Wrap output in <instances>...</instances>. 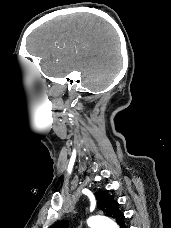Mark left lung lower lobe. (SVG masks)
I'll return each instance as SVG.
<instances>
[{
	"label": "left lung lower lobe",
	"mask_w": 171,
	"mask_h": 228,
	"mask_svg": "<svg viewBox=\"0 0 171 228\" xmlns=\"http://www.w3.org/2000/svg\"><path fill=\"white\" fill-rule=\"evenodd\" d=\"M120 228H126L124 222L120 224Z\"/></svg>",
	"instance_id": "obj_1"
}]
</instances>
